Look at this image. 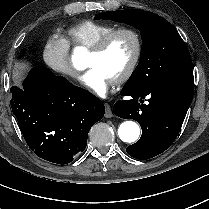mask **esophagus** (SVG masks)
<instances>
[{
    "instance_id": "34e87169",
    "label": "esophagus",
    "mask_w": 209,
    "mask_h": 209,
    "mask_svg": "<svg viewBox=\"0 0 209 209\" xmlns=\"http://www.w3.org/2000/svg\"><path fill=\"white\" fill-rule=\"evenodd\" d=\"M105 117L106 118L113 117V113H112L111 107H110V105L108 103H105Z\"/></svg>"
}]
</instances>
